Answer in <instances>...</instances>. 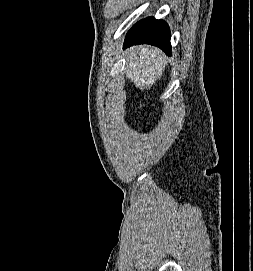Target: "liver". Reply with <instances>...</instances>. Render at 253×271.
Masks as SVG:
<instances>
[{"label":"liver","instance_id":"1","mask_svg":"<svg viewBox=\"0 0 253 271\" xmlns=\"http://www.w3.org/2000/svg\"><path fill=\"white\" fill-rule=\"evenodd\" d=\"M166 59L158 48L140 45L128 51L126 76L141 90L150 89L161 78Z\"/></svg>","mask_w":253,"mask_h":271}]
</instances>
